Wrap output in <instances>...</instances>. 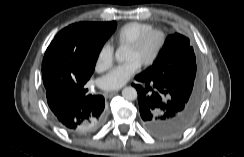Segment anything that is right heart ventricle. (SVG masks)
Segmentation results:
<instances>
[{"instance_id": "e07e8e85", "label": "right heart ventricle", "mask_w": 244, "mask_h": 157, "mask_svg": "<svg viewBox=\"0 0 244 157\" xmlns=\"http://www.w3.org/2000/svg\"><path fill=\"white\" fill-rule=\"evenodd\" d=\"M151 29H153V26L149 23L127 22L116 31L114 39L119 46H128L142 33Z\"/></svg>"}]
</instances>
